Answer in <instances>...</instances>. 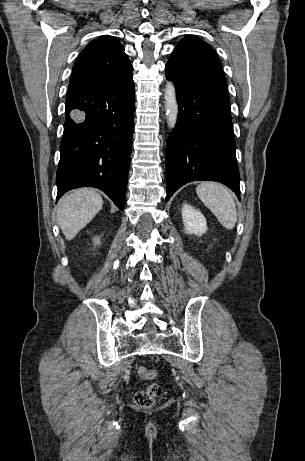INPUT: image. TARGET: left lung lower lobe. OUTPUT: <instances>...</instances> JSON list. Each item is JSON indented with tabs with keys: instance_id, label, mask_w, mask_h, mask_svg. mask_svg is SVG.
I'll return each instance as SVG.
<instances>
[{
	"instance_id": "1",
	"label": "left lung lower lobe",
	"mask_w": 305,
	"mask_h": 461,
	"mask_svg": "<svg viewBox=\"0 0 305 461\" xmlns=\"http://www.w3.org/2000/svg\"><path fill=\"white\" fill-rule=\"evenodd\" d=\"M166 77L176 87L178 121L166 148V200L182 185L219 181L240 197L226 77L219 60L171 56Z\"/></svg>"
}]
</instances>
